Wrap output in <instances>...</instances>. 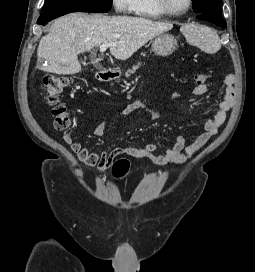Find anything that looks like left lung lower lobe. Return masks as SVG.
Here are the masks:
<instances>
[{
  "label": "left lung lower lobe",
  "instance_id": "1",
  "mask_svg": "<svg viewBox=\"0 0 255 272\" xmlns=\"http://www.w3.org/2000/svg\"><path fill=\"white\" fill-rule=\"evenodd\" d=\"M197 18L215 23V24L220 25L222 27H226V22L221 17V14H217L215 12H205L202 15L198 16Z\"/></svg>",
  "mask_w": 255,
  "mask_h": 272
}]
</instances>
